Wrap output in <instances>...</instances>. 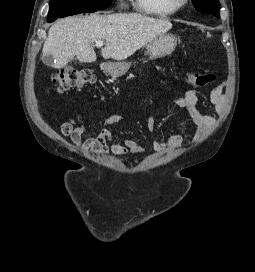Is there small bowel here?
Here are the masks:
<instances>
[{
	"instance_id": "c3829d8e",
	"label": "small bowel",
	"mask_w": 255,
	"mask_h": 272,
	"mask_svg": "<svg viewBox=\"0 0 255 272\" xmlns=\"http://www.w3.org/2000/svg\"><path fill=\"white\" fill-rule=\"evenodd\" d=\"M225 84L215 87L209 95V100L215 107L216 113L220 114L225 105L224 95ZM174 103L184 112L190 122L196 127V136H202L214 123L215 118L211 115L204 114L198 109L199 91L189 89L182 95L173 97ZM81 118V117H80ZM76 118L66 120L60 127L61 134L71 139V141L82 149L92 154L112 153L114 155H125L128 153H143L144 146L134 140L123 139L116 142L115 135L108 129L109 126L121 123L125 120L120 114H113L106 117L103 121V127L99 134L94 138L82 140L84 125H76ZM156 118L151 115L146 120L147 129L153 132L155 129ZM183 134L176 133L165 140H154L152 146L156 151L162 152L178 148L183 142Z\"/></svg>"
}]
</instances>
